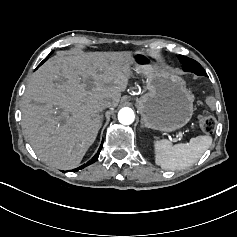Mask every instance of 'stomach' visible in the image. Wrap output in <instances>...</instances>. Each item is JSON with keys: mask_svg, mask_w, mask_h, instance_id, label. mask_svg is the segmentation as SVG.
Masks as SVG:
<instances>
[{"mask_svg": "<svg viewBox=\"0 0 237 237\" xmlns=\"http://www.w3.org/2000/svg\"><path fill=\"white\" fill-rule=\"evenodd\" d=\"M132 58L135 71L147 77L148 92L136 103L146 126L172 131L186 125L193 115L194 96L185 80L160 69L161 57L152 50L136 51Z\"/></svg>", "mask_w": 237, "mask_h": 237, "instance_id": "stomach-1", "label": "stomach"}]
</instances>
